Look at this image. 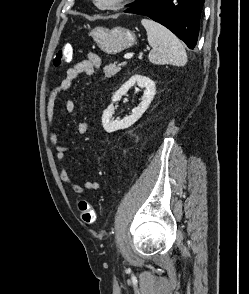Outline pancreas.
<instances>
[{"instance_id":"obj_1","label":"pancreas","mask_w":249,"mask_h":294,"mask_svg":"<svg viewBox=\"0 0 249 294\" xmlns=\"http://www.w3.org/2000/svg\"><path fill=\"white\" fill-rule=\"evenodd\" d=\"M124 65L125 63H121V64L114 63V64H109L105 66L104 67L105 77L110 78L114 76L121 70V67Z\"/></svg>"}]
</instances>
